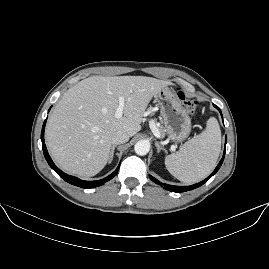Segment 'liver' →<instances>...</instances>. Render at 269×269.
Listing matches in <instances>:
<instances>
[{
  "label": "liver",
  "instance_id": "obj_1",
  "mask_svg": "<svg viewBox=\"0 0 269 269\" xmlns=\"http://www.w3.org/2000/svg\"><path fill=\"white\" fill-rule=\"evenodd\" d=\"M174 84L146 76H91L69 88L46 126V143L66 172L92 177L107 164L112 135L123 130L133 137L141 129L152 98ZM123 116L116 118L119 98Z\"/></svg>",
  "mask_w": 269,
  "mask_h": 269
}]
</instances>
